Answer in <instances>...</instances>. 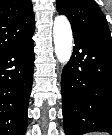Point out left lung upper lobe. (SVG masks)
<instances>
[{"label":"left lung upper lobe","mask_w":112,"mask_h":135,"mask_svg":"<svg viewBox=\"0 0 112 135\" xmlns=\"http://www.w3.org/2000/svg\"><path fill=\"white\" fill-rule=\"evenodd\" d=\"M57 11L67 16L74 34L112 40L106 17L94 0H57Z\"/></svg>","instance_id":"1"}]
</instances>
